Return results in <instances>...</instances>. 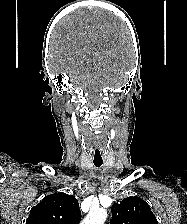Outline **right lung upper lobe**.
Masks as SVG:
<instances>
[{
  "label": "right lung upper lobe",
  "mask_w": 187,
  "mask_h": 224,
  "mask_svg": "<svg viewBox=\"0 0 187 224\" xmlns=\"http://www.w3.org/2000/svg\"><path fill=\"white\" fill-rule=\"evenodd\" d=\"M81 219L79 204L73 195L54 193L34 206L26 224H78Z\"/></svg>",
  "instance_id": "right-lung-upper-lobe-1"
}]
</instances>
